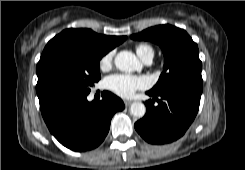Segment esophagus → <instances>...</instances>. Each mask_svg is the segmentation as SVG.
I'll return each mask as SVG.
<instances>
[{
  "instance_id": "obj_1",
  "label": "esophagus",
  "mask_w": 245,
  "mask_h": 170,
  "mask_svg": "<svg viewBox=\"0 0 245 170\" xmlns=\"http://www.w3.org/2000/svg\"><path fill=\"white\" fill-rule=\"evenodd\" d=\"M124 104H125L126 106H129V105L131 104V101H130V100H124Z\"/></svg>"
}]
</instances>
